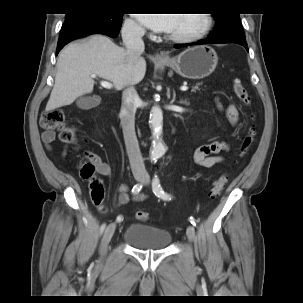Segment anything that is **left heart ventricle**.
I'll use <instances>...</instances> for the list:
<instances>
[{"label":"left heart ventricle","instance_id":"obj_1","mask_svg":"<svg viewBox=\"0 0 303 303\" xmlns=\"http://www.w3.org/2000/svg\"><path fill=\"white\" fill-rule=\"evenodd\" d=\"M203 25V17L200 14H177L175 25L170 33H190L198 30Z\"/></svg>","mask_w":303,"mask_h":303}]
</instances>
